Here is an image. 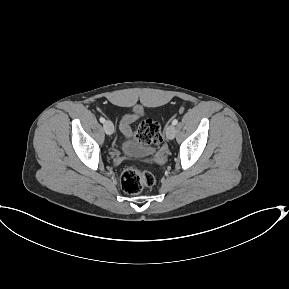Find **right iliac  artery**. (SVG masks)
I'll list each match as a JSON object with an SVG mask.
<instances>
[{"mask_svg": "<svg viewBox=\"0 0 289 289\" xmlns=\"http://www.w3.org/2000/svg\"><path fill=\"white\" fill-rule=\"evenodd\" d=\"M99 120H100L101 123H104V122H105V119H104L103 117H100Z\"/></svg>", "mask_w": 289, "mask_h": 289, "instance_id": "obj_1", "label": "right iliac artery"}]
</instances>
